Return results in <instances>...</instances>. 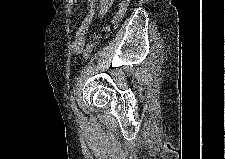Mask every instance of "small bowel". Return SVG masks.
Wrapping results in <instances>:
<instances>
[{
  "instance_id": "1",
  "label": "small bowel",
  "mask_w": 225,
  "mask_h": 159,
  "mask_svg": "<svg viewBox=\"0 0 225 159\" xmlns=\"http://www.w3.org/2000/svg\"><path fill=\"white\" fill-rule=\"evenodd\" d=\"M113 0H100L96 5L95 0H89L88 2V13L81 26L75 33L74 39L71 43V52L74 55H79L83 52L86 36L89 29V26L93 20L94 15L97 13L99 15H104L107 13L109 8L111 7ZM72 5V3H70Z\"/></svg>"
}]
</instances>
